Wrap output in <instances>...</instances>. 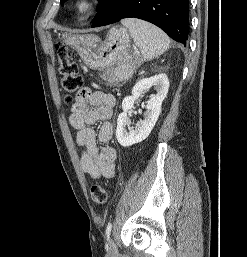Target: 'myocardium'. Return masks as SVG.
Listing matches in <instances>:
<instances>
[{
    "label": "myocardium",
    "instance_id": "myocardium-1",
    "mask_svg": "<svg viewBox=\"0 0 247 257\" xmlns=\"http://www.w3.org/2000/svg\"><path fill=\"white\" fill-rule=\"evenodd\" d=\"M99 7V0H74L72 9L81 19L92 16Z\"/></svg>",
    "mask_w": 247,
    "mask_h": 257
}]
</instances>
